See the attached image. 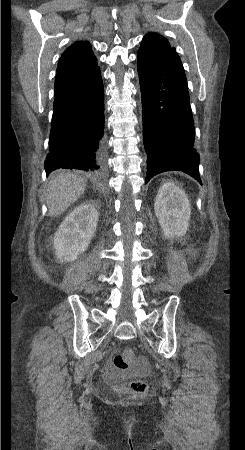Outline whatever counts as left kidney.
I'll use <instances>...</instances> for the list:
<instances>
[{"mask_svg": "<svg viewBox=\"0 0 245 450\" xmlns=\"http://www.w3.org/2000/svg\"><path fill=\"white\" fill-rule=\"evenodd\" d=\"M154 210L165 237H181L186 233L191 208L182 189L173 183H164L155 198Z\"/></svg>", "mask_w": 245, "mask_h": 450, "instance_id": "left-kidney-1", "label": "left kidney"}]
</instances>
